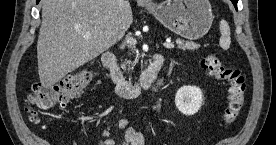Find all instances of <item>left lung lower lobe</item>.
<instances>
[{
	"label": "left lung lower lobe",
	"instance_id": "1",
	"mask_svg": "<svg viewBox=\"0 0 276 145\" xmlns=\"http://www.w3.org/2000/svg\"><path fill=\"white\" fill-rule=\"evenodd\" d=\"M231 1H232L233 5L235 6V8L237 9V2H238V0H231Z\"/></svg>",
	"mask_w": 276,
	"mask_h": 145
}]
</instances>
